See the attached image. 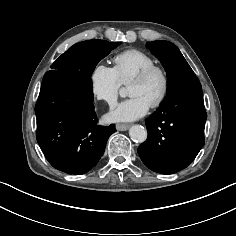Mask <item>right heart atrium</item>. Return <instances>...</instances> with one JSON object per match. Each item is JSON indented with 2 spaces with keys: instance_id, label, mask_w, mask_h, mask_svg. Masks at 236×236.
<instances>
[{
  "instance_id": "1",
  "label": "right heart atrium",
  "mask_w": 236,
  "mask_h": 236,
  "mask_svg": "<svg viewBox=\"0 0 236 236\" xmlns=\"http://www.w3.org/2000/svg\"><path fill=\"white\" fill-rule=\"evenodd\" d=\"M89 86L92 95L101 101L114 105L122 83L114 69L103 63L95 64L89 73Z\"/></svg>"
}]
</instances>
